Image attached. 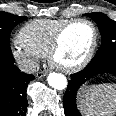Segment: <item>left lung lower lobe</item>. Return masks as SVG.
I'll use <instances>...</instances> for the list:
<instances>
[{
    "instance_id": "1",
    "label": "left lung lower lobe",
    "mask_w": 116,
    "mask_h": 116,
    "mask_svg": "<svg viewBox=\"0 0 116 116\" xmlns=\"http://www.w3.org/2000/svg\"><path fill=\"white\" fill-rule=\"evenodd\" d=\"M116 76V55L96 58L80 72L71 75L68 86L63 97L64 112L66 116H82L77 109V93L82 85L88 80L99 75Z\"/></svg>"
}]
</instances>
